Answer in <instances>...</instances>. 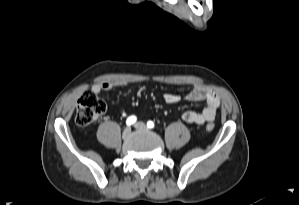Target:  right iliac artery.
<instances>
[{
	"mask_svg": "<svg viewBox=\"0 0 299 205\" xmlns=\"http://www.w3.org/2000/svg\"><path fill=\"white\" fill-rule=\"evenodd\" d=\"M137 118L136 116H130L127 121H126V124L129 126V125H132L136 122Z\"/></svg>",
	"mask_w": 299,
	"mask_h": 205,
	"instance_id": "obj_1",
	"label": "right iliac artery"
}]
</instances>
